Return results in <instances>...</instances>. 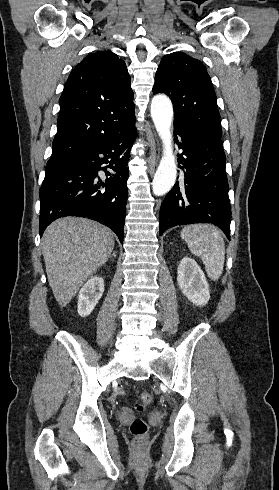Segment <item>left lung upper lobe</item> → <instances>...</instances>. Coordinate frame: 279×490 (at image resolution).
<instances>
[{
  "instance_id": "5c2ea615",
  "label": "left lung upper lobe",
  "mask_w": 279,
  "mask_h": 490,
  "mask_svg": "<svg viewBox=\"0 0 279 490\" xmlns=\"http://www.w3.org/2000/svg\"><path fill=\"white\" fill-rule=\"evenodd\" d=\"M153 92L172 99L174 122L221 138L217 98L201 61L183 53L165 55L156 72Z\"/></svg>"
}]
</instances>
